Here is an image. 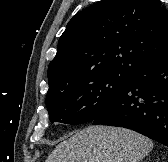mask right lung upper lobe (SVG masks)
<instances>
[{
    "label": "right lung upper lobe",
    "instance_id": "obj_1",
    "mask_svg": "<svg viewBox=\"0 0 168 162\" xmlns=\"http://www.w3.org/2000/svg\"><path fill=\"white\" fill-rule=\"evenodd\" d=\"M168 58V10L159 0H101L67 24L48 67L49 91L91 75H131Z\"/></svg>",
    "mask_w": 168,
    "mask_h": 162
}]
</instances>
